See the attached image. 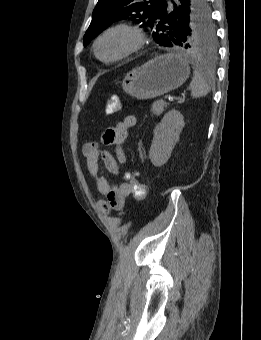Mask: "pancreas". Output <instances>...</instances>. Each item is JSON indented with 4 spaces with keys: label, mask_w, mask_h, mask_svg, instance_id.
I'll list each match as a JSON object with an SVG mask.
<instances>
[{
    "label": "pancreas",
    "mask_w": 261,
    "mask_h": 340,
    "mask_svg": "<svg viewBox=\"0 0 261 340\" xmlns=\"http://www.w3.org/2000/svg\"><path fill=\"white\" fill-rule=\"evenodd\" d=\"M168 103H166L163 100H158L156 102L153 103L152 107H151V112L156 115V116H160L164 109L167 107Z\"/></svg>",
    "instance_id": "cf45deb5"
}]
</instances>
